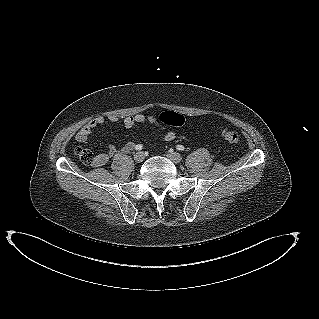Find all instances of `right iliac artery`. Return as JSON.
Here are the masks:
<instances>
[{"label": "right iliac artery", "instance_id": "1", "mask_svg": "<svg viewBox=\"0 0 319 319\" xmlns=\"http://www.w3.org/2000/svg\"><path fill=\"white\" fill-rule=\"evenodd\" d=\"M143 148V145L138 144L135 146V150H141Z\"/></svg>", "mask_w": 319, "mask_h": 319}]
</instances>
